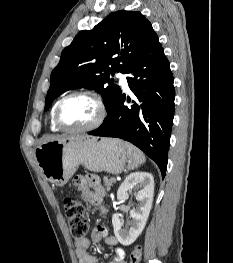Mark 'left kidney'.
Masks as SVG:
<instances>
[{"mask_svg": "<svg viewBox=\"0 0 233 263\" xmlns=\"http://www.w3.org/2000/svg\"><path fill=\"white\" fill-rule=\"evenodd\" d=\"M134 189L137 191L135 198L138 206L130 210L131 221L124 228L122 214L115 213L112 216L114 234L124 246L131 245L142 233L153 202L154 178L147 172H134L126 177L117 191L118 201H125L129 192Z\"/></svg>", "mask_w": 233, "mask_h": 263, "instance_id": "1", "label": "left kidney"}]
</instances>
